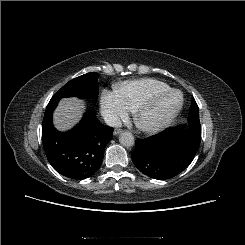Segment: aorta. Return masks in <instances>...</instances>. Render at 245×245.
<instances>
[{"label": "aorta", "mask_w": 245, "mask_h": 245, "mask_svg": "<svg viewBox=\"0 0 245 245\" xmlns=\"http://www.w3.org/2000/svg\"><path fill=\"white\" fill-rule=\"evenodd\" d=\"M119 142L125 147H131L135 143L134 136L131 132L124 131L119 136Z\"/></svg>", "instance_id": "1"}]
</instances>
